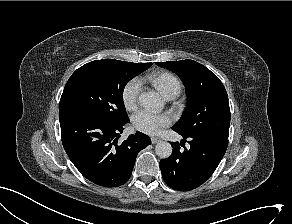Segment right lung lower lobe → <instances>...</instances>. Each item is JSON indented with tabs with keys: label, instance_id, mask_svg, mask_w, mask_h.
<instances>
[{
	"label": "right lung lower lobe",
	"instance_id": "obj_1",
	"mask_svg": "<svg viewBox=\"0 0 292 224\" xmlns=\"http://www.w3.org/2000/svg\"><path fill=\"white\" fill-rule=\"evenodd\" d=\"M63 147L79 172L103 187L125 184L140 150L151 144L150 138L137 131L118 144L129 119L107 124L79 109L59 111Z\"/></svg>",
	"mask_w": 292,
	"mask_h": 224
}]
</instances>
